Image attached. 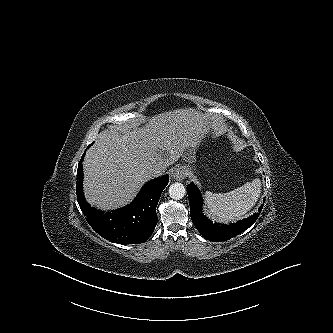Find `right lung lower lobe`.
<instances>
[{"label": "right lung lower lobe", "mask_w": 333, "mask_h": 333, "mask_svg": "<svg viewBox=\"0 0 333 333\" xmlns=\"http://www.w3.org/2000/svg\"><path fill=\"white\" fill-rule=\"evenodd\" d=\"M83 159L84 155L77 170L76 192L79 206L89 225L100 236L114 243L125 245L145 242L157 224L156 206L169 182V176L164 175L146 183L128 206L104 213L91 207L84 198Z\"/></svg>", "instance_id": "1"}]
</instances>
